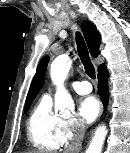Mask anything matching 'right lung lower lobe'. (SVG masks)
<instances>
[{
	"label": "right lung lower lobe",
	"mask_w": 130,
	"mask_h": 153,
	"mask_svg": "<svg viewBox=\"0 0 130 153\" xmlns=\"http://www.w3.org/2000/svg\"><path fill=\"white\" fill-rule=\"evenodd\" d=\"M107 79H108V70L104 65L98 70V80H99L98 93L101 97L104 106L107 105L109 99V87Z\"/></svg>",
	"instance_id": "98d812e1"
}]
</instances>
